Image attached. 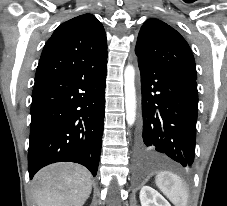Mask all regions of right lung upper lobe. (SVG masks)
I'll list each match as a JSON object with an SVG mask.
<instances>
[{
    "label": "right lung upper lobe",
    "instance_id": "right-lung-upper-lobe-1",
    "mask_svg": "<svg viewBox=\"0 0 227 206\" xmlns=\"http://www.w3.org/2000/svg\"><path fill=\"white\" fill-rule=\"evenodd\" d=\"M107 61V39L101 22L83 14L61 24L44 46L35 82Z\"/></svg>",
    "mask_w": 227,
    "mask_h": 206
}]
</instances>
